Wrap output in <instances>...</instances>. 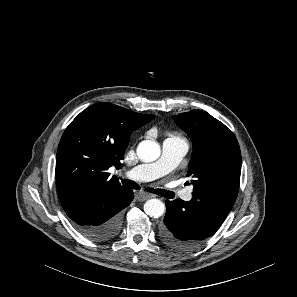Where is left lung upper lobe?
<instances>
[{
    "label": "left lung upper lobe",
    "instance_id": "left-lung-upper-lobe-1",
    "mask_svg": "<svg viewBox=\"0 0 297 297\" xmlns=\"http://www.w3.org/2000/svg\"><path fill=\"white\" fill-rule=\"evenodd\" d=\"M193 143L187 176L193 199L234 203L239 190L241 152L234 133L205 111L173 115Z\"/></svg>",
    "mask_w": 297,
    "mask_h": 297
}]
</instances>
